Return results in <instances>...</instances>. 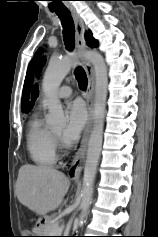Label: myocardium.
<instances>
[{
	"mask_svg": "<svg viewBox=\"0 0 158 237\" xmlns=\"http://www.w3.org/2000/svg\"><path fill=\"white\" fill-rule=\"evenodd\" d=\"M53 138H54L55 142L58 141V135L56 133H53Z\"/></svg>",
	"mask_w": 158,
	"mask_h": 237,
	"instance_id": "myocardium-1",
	"label": "myocardium"
}]
</instances>
